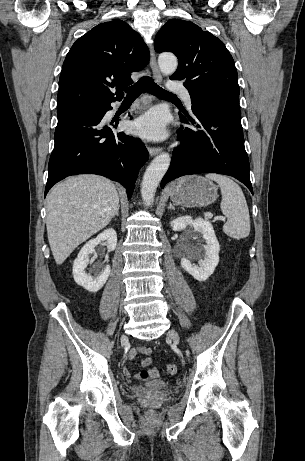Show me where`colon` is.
Returning <instances> with one entry per match:
<instances>
[{
  "mask_svg": "<svg viewBox=\"0 0 305 461\" xmlns=\"http://www.w3.org/2000/svg\"><path fill=\"white\" fill-rule=\"evenodd\" d=\"M165 371H166V373H167L168 375L173 376V375H176V374H177L178 369H177V366H176L175 364H168V365L166 366V368H165ZM149 377H150V373H149L148 371H146V370L141 371L140 374H139V378H140L141 380H144V381H145V380H148Z\"/></svg>",
  "mask_w": 305,
  "mask_h": 461,
  "instance_id": "colon-1",
  "label": "colon"
}]
</instances>
